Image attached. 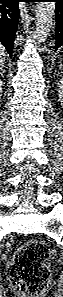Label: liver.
<instances>
[{
    "label": "liver",
    "mask_w": 63,
    "mask_h": 297,
    "mask_svg": "<svg viewBox=\"0 0 63 297\" xmlns=\"http://www.w3.org/2000/svg\"><path fill=\"white\" fill-rule=\"evenodd\" d=\"M4 56H5V49L3 46H0V64L4 62Z\"/></svg>",
    "instance_id": "obj_1"
}]
</instances>
